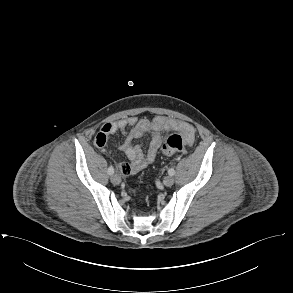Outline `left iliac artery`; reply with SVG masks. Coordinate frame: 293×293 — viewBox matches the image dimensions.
Returning <instances> with one entry per match:
<instances>
[{
  "label": "left iliac artery",
  "mask_w": 293,
  "mask_h": 293,
  "mask_svg": "<svg viewBox=\"0 0 293 293\" xmlns=\"http://www.w3.org/2000/svg\"><path fill=\"white\" fill-rule=\"evenodd\" d=\"M168 174L171 175V176H173L175 174V170L173 168H170L168 170Z\"/></svg>",
  "instance_id": "44dca946"
}]
</instances>
